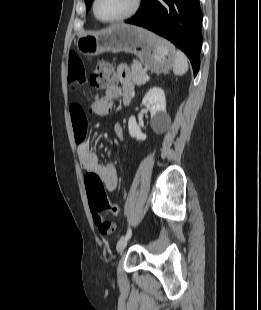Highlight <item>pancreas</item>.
Returning a JSON list of instances; mask_svg holds the SVG:
<instances>
[{
  "mask_svg": "<svg viewBox=\"0 0 261 310\" xmlns=\"http://www.w3.org/2000/svg\"><path fill=\"white\" fill-rule=\"evenodd\" d=\"M146 71L142 68L140 63L134 62L131 65V83L137 86H141L146 83L144 76Z\"/></svg>",
  "mask_w": 261,
  "mask_h": 310,
  "instance_id": "cf45deb5",
  "label": "pancreas"
}]
</instances>
